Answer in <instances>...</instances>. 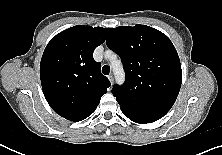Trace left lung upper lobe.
Listing matches in <instances>:
<instances>
[{
  "label": "left lung upper lobe",
  "mask_w": 222,
  "mask_h": 155,
  "mask_svg": "<svg viewBox=\"0 0 222 155\" xmlns=\"http://www.w3.org/2000/svg\"><path fill=\"white\" fill-rule=\"evenodd\" d=\"M105 31L107 46L120 56L126 71L124 85L112 89L120 108L163 117L173 106L182 82L180 59L170 39L140 24Z\"/></svg>",
  "instance_id": "obj_1"
}]
</instances>
